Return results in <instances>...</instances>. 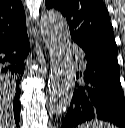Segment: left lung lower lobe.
<instances>
[{"label": "left lung lower lobe", "mask_w": 125, "mask_h": 128, "mask_svg": "<svg viewBox=\"0 0 125 128\" xmlns=\"http://www.w3.org/2000/svg\"><path fill=\"white\" fill-rule=\"evenodd\" d=\"M83 58L84 69L77 74L76 88L61 128H73L92 118L125 128V101L117 56L83 51Z\"/></svg>", "instance_id": "1"}]
</instances>
